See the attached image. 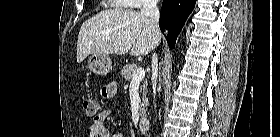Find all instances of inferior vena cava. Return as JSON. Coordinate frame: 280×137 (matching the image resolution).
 I'll return each mask as SVG.
<instances>
[{"instance_id":"obj_1","label":"inferior vena cava","mask_w":280,"mask_h":137,"mask_svg":"<svg viewBox=\"0 0 280 137\" xmlns=\"http://www.w3.org/2000/svg\"><path fill=\"white\" fill-rule=\"evenodd\" d=\"M158 0H145L143 7L141 9V15L145 16L150 25L152 26L153 30L156 33H159V9L157 6ZM152 74L153 76L157 77L158 74V57L154 53L152 56ZM153 94L155 98L156 94V82L153 83ZM156 108V104L154 105Z\"/></svg>"}]
</instances>
